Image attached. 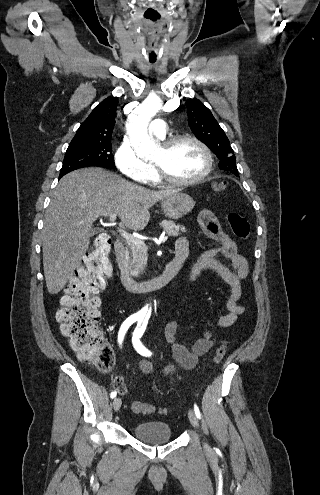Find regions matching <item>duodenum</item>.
Listing matches in <instances>:
<instances>
[{
	"instance_id": "duodenum-1",
	"label": "duodenum",
	"mask_w": 320,
	"mask_h": 495,
	"mask_svg": "<svg viewBox=\"0 0 320 495\" xmlns=\"http://www.w3.org/2000/svg\"><path fill=\"white\" fill-rule=\"evenodd\" d=\"M186 249L175 250V257L166 264L163 273L145 281L135 280L128 272L126 265V249L121 241L115 243V255L119 269L120 280L129 290L138 293L150 292L160 289L170 283L178 274L184 260L187 258Z\"/></svg>"
}]
</instances>
